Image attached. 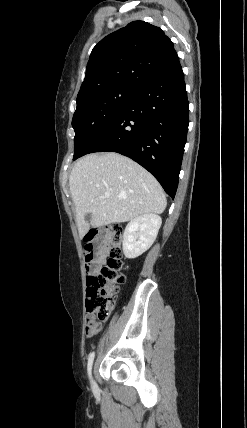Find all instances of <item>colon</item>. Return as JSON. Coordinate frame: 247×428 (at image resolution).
<instances>
[{
    "instance_id": "5ec220e1",
    "label": "colon",
    "mask_w": 247,
    "mask_h": 428,
    "mask_svg": "<svg viewBox=\"0 0 247 428\" xmlns=\"http://www.w3.org/2000/svg\"><path fill=\"white\" fill-rule=\"evenodd\" d=\"M85 243H90L85 248V260L90 275L87 278V324L86 334H92L98 324L104 322L109 317L113 305L114 297L123 283L126 265L122 260V228L119 225H109L103 229V238L97 244L92 234L83 236ZM103 245L102 251H97ZM108 253L105 265L96 273H92L94 268H98L95 258H102Z\"/></svg>"
}]
</instances>
